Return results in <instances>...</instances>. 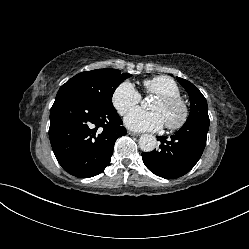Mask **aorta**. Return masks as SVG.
Instances as JSON below:
<instances>
[{
  "label": "aorta",
  "instance_id": "obj_1",
  "mask_svg": "<svg viewBox=\"0 0 249 249\" xmlns=\"http://www.w3.org/2000/svg\"><path fill=\"white\" fill-rule=\"evenodd\" d=\"M138 143H139L141 150H143L145 152H150V151H153L155 149L156 144H157V140H156L155 136H153L151 134H143L139 138Z\"/></svg>",
  "mask_w": 249,
  "mask_h": 249
}]
</instances>
